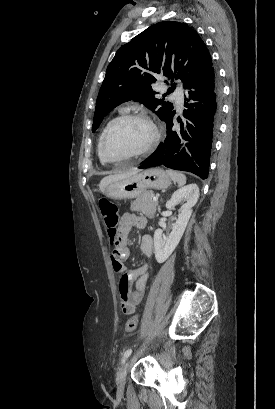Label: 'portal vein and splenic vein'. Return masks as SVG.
Wrapping results in <instances>:
<instances>
[{"instance_id": "obj_1", "label": "portal vein and splenic vein", "mask_w": 275, "mask_h": 409, "mask_svg": "<svg viewBox=\"0 0 275 409\" xmlns=\"http://www.w3.org/2000/svg\"><path fill=\"white\" fill-rule=\"evenodd\" d=\"M153 200H158V196H153Z\"/></svg>"}]
</instances>
